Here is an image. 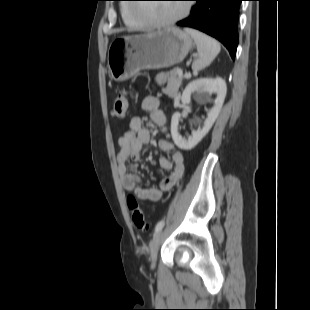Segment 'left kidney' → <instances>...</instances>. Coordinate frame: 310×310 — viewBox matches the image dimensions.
I'll return each instance as SVG.
<instances>
[{
    "label": "left kidney",
    "instance_id": "obj_1",
    "mask_svg": "<svg viewBox=\"0 0 310 310\" xmlns=\"http://www.w3.org/2000/svg\"><path fill=\"white\" fill-rule=\"evenodd\" d=\"M226 92V83L221 78H202L188 84L182 94V107L189 104L193 93L197 94V99L201 102L207 101L208 95L211 93H216L217 98L215 105L207 114V119L205 120L203 127L193 131L192 135L189 136L188 139L183 138L178 132V124L181 114L179 112L174 113L171 120V135L175 145L178 148L183 150H190L194 148L209 132L222 108Z\"/></svg>",
    "mask_w": 310,
    "mask_h": 310
}]
</instances>
